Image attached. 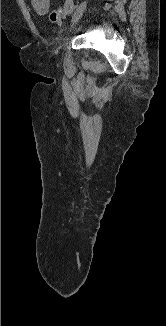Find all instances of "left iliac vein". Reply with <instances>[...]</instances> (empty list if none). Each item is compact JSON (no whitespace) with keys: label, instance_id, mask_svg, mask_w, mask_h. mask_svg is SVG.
<instances>
[{"label":"left iliac vein","instance_id":"4c4485c4","mask_svg":"<svg viewBox=\"0 0 166 326\" xmlns=\"http://www.w3.org/2000/svg\"><path fill=\"white\" fill-rule=\"evenodd\" d=\"M87 3L86 1H83L78 8L75 10L73 16H72V21H71V26H74V24H76L79 19L82 17L85 9H86Z\"/></svg>","mask_w":166,"mask_h":326}]
</instances>
